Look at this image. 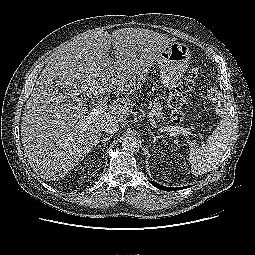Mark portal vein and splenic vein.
Wrapping results in <instances>:
<instances>
[{
    "label": "portal vein and splenic vein",
    "mask_w": 255,
    "mask_h": 255,
    "mask_svg": "<svg viewBox=\"0 0 255 255\" xmlns=\"http://www.w3.org/2000/svg\"><path fill=\"white\" fill-rule=\"evenodd\" d=\"M108 110V106L107 104H105L104 102H100L96 107L92 108V112L90 113V115H99L101 113H104ZM150 123L153 127H157L155 120L153 118L150 119ZM162 132H176L177 134H183L185 135L187 138H189L190 133L182 127H178V126H168V127H163L160 129ZM190 146H194V143L189 142Z\"/></svg>",
    "instance_id": "1"
}]
</instances>
